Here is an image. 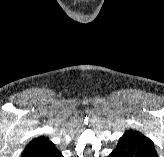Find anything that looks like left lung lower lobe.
Returning a JSON list of instances; mask_svg holds the SVG:
<instances>
[{"label":"left lung lower lobe","mask_w":164,"mask_h":157,"mask_svg":"<svg viewBox=\"0 0 164 157\" xmlns=\"http://www.w3.org/2000/svg\"><path fill=\"white\" fill-rule=\"evenodd\" d=\"M109 157H158L152 142L134 134H124Z\"/></svg>","instance_id":"left-lung-lower-lobe-1"}]
</instances>
